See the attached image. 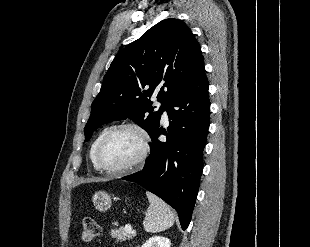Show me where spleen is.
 Returning <instances> with one entry per match:
<instances>
[{
    "instance_id": "spleen-1",
    "label": "spleen",
    "mask_w": 310,
    "mask_h": 247,
    "mask_svg": "<svg viewBox=\"0 0 310 247\" xmlns=\"http://www.w3.org/2000/svg\"><path fill=\"white\" fill-rule=\"evenodd\" d=\"M146 196L150 205L143 221L144 230L156 233L170 228L174 224V214L169 206L150 192H146Z\"/></svg>"
}]
</instances>
